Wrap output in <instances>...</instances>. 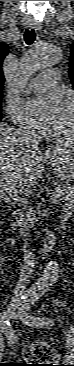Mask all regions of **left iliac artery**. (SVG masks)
<instances>
[{
    "label": "left iliac artery",
    "instance_id": "obj_1",
    "mask_svg": "<svg viewBox=\"0 0 74 366\" xmlns=\"http://www.w3.org/2000/svg\"><path fill=\"white\" fill-rule=\"evenodd\" d=\"M35 299L37 298H29L26 300L25 304L23 305L22 310L20 311V314L23 315V322L30 325V326H36V327H48L53 326L54 322L47 318V317H34L28 313L30 310L31 305L35 302Z\"/></svg>",
    "mask_w": 74,
    "mask_h": 366
}]
</instances>
